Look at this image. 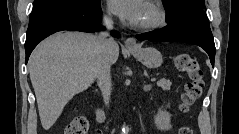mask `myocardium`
I'll list each match as a JSON object with an SVG mask.
<instances>
[{"mask_svg": "<svg viewBox=\"0 0 239 134\" xmlns=\"http://www.w3.org/2000/svg\"><path fill=\"white\" fill-rule=\"evenodd\" d=\"M147 7L152 12V18L143 24H139L138 28L142 30H155L162 27L167 19L165 10L154 2H148Z\"/></svg>", "mask_w": 239, "mask_h": 134, "instance_id": "1", "label": "myocardium"}]
</instances>
